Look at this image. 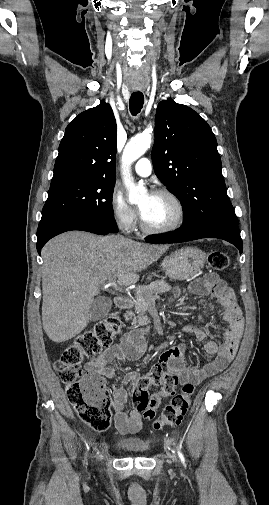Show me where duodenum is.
<instances>
[{
    "mask_svg": "<svg viewBox=\"0 0 269 505\" xmlns=\"http://www.w3.org/2000/svg\"><path fill=\"white\" fill-rule=\"evenodd\" d=\"M115 305L120 308V309H125L130 307L131 305V300L128 296L125 295H118L115 297ZM147 334V329H140L137 330L135 337L136 338H142Z\"/></svg>",
    "mask_w": 269,
    "mask_h": 505,
    "instance_id": "410a0bca",
    "label": "duodenum"
}]
</instances>
